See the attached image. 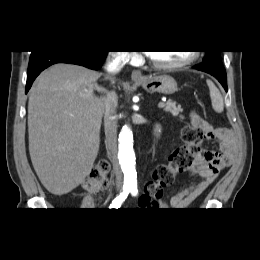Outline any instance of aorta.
Wrapping results in <instances>:
<instances>
[{
  "label": "aorta",
  "instance_id": "1",
  "mask_svg": "<svg viewBox=\"0 0 260 260\" xmlns=\"http://www.w3.org/2000/svg\"><path fill=\"white\" fill-rule=\"evenodd\" d=\"M118 159L124 173V182L134 185L137 182L133 134L129 126L124 125L119 134Z\"/></svg>",
  "mask_w": 260,
  "mask_h": 260
}]
</instances>
